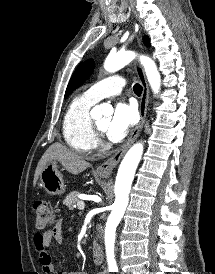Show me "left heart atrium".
I'll use <instances>...</instances> for the list:
<instances>
[{
    "label": "left heart atrium",
    "mask_w": 215,
    "mask_h": 274,
    "mask_svg": "<svg viewBox=\"0 0 215 274\" xmlns=\"http://www.w3.org/2000/svg\"><path fill=\"white\" fill-rule=\"evenodd\" d=\"M137 122V111L134 106L125 103L116 105L106 132L112 142L121 141Z\"/></svg>",
    "instance_id": "1"
}]
</instances>
